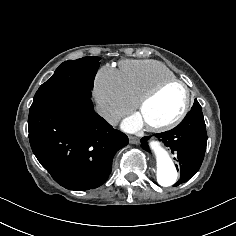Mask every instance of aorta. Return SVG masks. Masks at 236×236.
<instances>
[{
  "mask_svg": "<svg viewBox=\"0 0 236 236\" xmlns=\"http://www.w3.org/2000/svg\"><path fill=\"white\" fill-rule=\"evenodd\" d=\"M150 146L156 155L158 184L163 187L175 184L178 173L168 152L157 141L152 140Z\"/></svg>",
  "mask_w": 236,
  "mask_h": 236,
  "instance_id": "aorta-1",
  "label": "aorta"
}]
</instances>
